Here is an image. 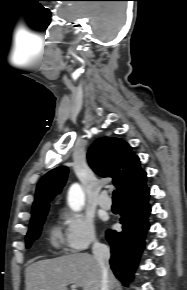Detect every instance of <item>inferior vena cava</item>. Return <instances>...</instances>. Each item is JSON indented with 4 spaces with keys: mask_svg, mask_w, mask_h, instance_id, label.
<instances>
[{
    "mask_svg": "<svg viewBox=\"0 0 187 290\" xmlns=\"http://www.w3.org/2000/svg\"><path fill=\"white\" fill-rule=\"evenodd\" d=\"M92 252L101 269V290H109V247L95 240Z\"/></svg>",
    "mask_w": 187,
    "mask_h": 290,
    "instance_id": "obj_1",
    "label": "inferior vena cava"
}]
</instances>
